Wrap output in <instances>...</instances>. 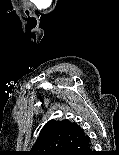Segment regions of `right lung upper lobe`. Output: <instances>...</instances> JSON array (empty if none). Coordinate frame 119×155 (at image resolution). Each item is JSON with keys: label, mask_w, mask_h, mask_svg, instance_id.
<instances>
[{"label": "right lung upper lobe", "mask_w": 119, "mask_h": 155, "mask_svg": "<svg viewBox=\"0 0 119 155\" xmlns=\"http://www.w3.org/2000/svg\"><path fill=\"white\" fill-rule=\"evenodd\" d=\"M84 136L85 133L75 122L51 120L41 130L28 155H62Z\"/></svg>", "instance_id": "right-lung-upper-lobe-1"}]
</instances>
